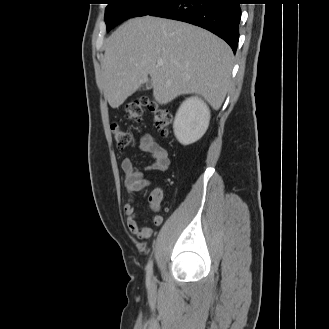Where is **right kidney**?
<instances>
[{"instance_id":"right-kidney-1","label":"right kidney","mask_w":329,"mask_h":329,"mask_svg":"<svg viewBox=\"0 0 329 329\" xmlns=\"http://www.w3.org/2000/svg\"><path fill=\"white\" fill-rule=\"evenodd\" d=\"M210 110L198 97L187 98L179 107L173 124L174 134L182 145L199 140L206 132Z\"/></svg>"}]
</instances>
